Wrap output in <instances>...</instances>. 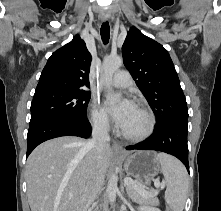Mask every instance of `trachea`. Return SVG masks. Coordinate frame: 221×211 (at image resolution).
I'll use <instances>...</instances> for the list:
<instances>
[{"instance_id": "1", "label": "trachea", "mask_w": 221, "mask_h": 211, "mask_svg": "<svg viewBox=\"0 0 221 211\" xmlns=\"http://www.w3.org/2000/svg\"><path fill=\"white\" fill-rule=\"evenodd\" d=\"M101 38L104 44H107L110 39V27L108 22H104L100 29Z\"/></svg>"}]
</instances>
